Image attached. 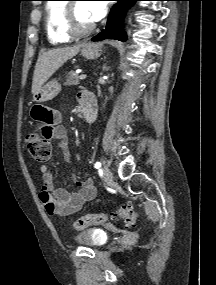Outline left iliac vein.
<instances>
[{"instance_id":"left-iliac-vein-1","label":"left iliac vein","mask_w":216,"mask_h":285,"mask_svg":"<svg viewBox=\"0 0 216 285\" xmlns=\"http://www.w3.org/2000/svg\"><path fill=\"white\" fill-rule=\"evenodd\" d=\"M103 178H104V181L109 185H111L114 181L113 173L108 167H104L103 169Z\"/></svg>"}]
</instances>
